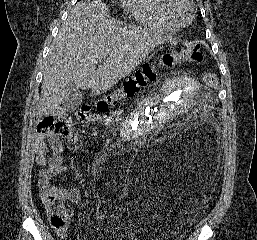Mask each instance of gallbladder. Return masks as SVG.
I'll list each match as a JSON object with an SVG mask.
<instances>
[{
    "instance_id": "gallbladder-1",
    "label": "gallbladder",
    "mask_w": 257,
    "mask_h": 240,
    "mask_svg": "<svg viewBox=\"0 0 257 240\" xmlns=\"http://www.w3.org/2000/svg\"><path fill=\"white\" fill-rule=\"evenodd\" d=\"M81 103L82 93L80 89L73 82H69L66 86L61 109L65 112H73L81 105Z\"/></svg>"
}]
</instances>
